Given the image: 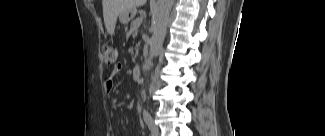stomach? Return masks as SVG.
<instances>
[{
    "instance_id": "stomach-1",
    "label": "stomach",
    "mask_w": 325,
    "mask_h": 136,
    "mask_svg": "<svg viewBox=\"0 0 325 136\" xmlns=\"http://www.w3.org/2000/svg\"><path fill=\"white\" fill-rule=\"evenodd\" d=\"M136 14L135 9H131L126 11L125 13L120 14L119 18L122 23H128L131 18H133Z\"/></svg>"
}]
</instances>
